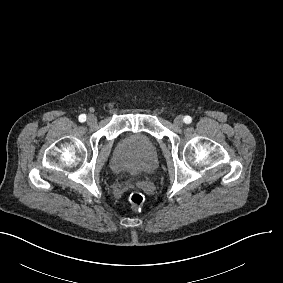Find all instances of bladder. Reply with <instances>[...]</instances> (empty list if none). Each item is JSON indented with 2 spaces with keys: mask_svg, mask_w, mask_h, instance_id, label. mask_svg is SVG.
<instances>
[{
  "mask_svg": "<svg viewBox=\"0 0 283 283\" xmlns=\"http://www.w3.org/2000/svg\"><path fill=\"white\" fill-rule=\"evenodd\" d=\"M113 161L128 180H142L159 166L156 141L146 131H127L119 136L113 146Z\"/></svg>",
  "mask_w": 283,
  "mask_h": 283,
  "instance_id": "31cf9c89",
  "label": "bladder"
}]
</instances>
